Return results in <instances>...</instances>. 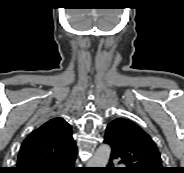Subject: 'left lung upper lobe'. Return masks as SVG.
<instances>
[{
	"label": "left lung upper lobe",
	"mask_w": 184,
	"mask_h": 173,
	"mask_svg": "<svg viewBox=\"0 0 184 173\" xmlns=\"http://www.w3.org/2000/svg\"><path fill=\"white\" fill-rule=\"evenodd\" d=\"M104 142L129 173H164L160 153L151 137L129 119L117 118L106 128Z\"/></svg>",
	"instance_id": "left-lung-upper-lobe-1"
}]
</instances>
